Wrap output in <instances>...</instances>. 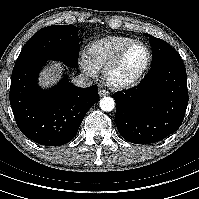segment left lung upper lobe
Instances as JSON below:
<instances>
[{
  "mask_svg": "<svg viewBox=\"0 0 199 199\" xmlns=\"http://www.w3.org/2000/svg\"><path fill=\"white\" fill-rule=\"evenodd\" d=\"M144 35L148 36L147 33ZM149 38L153 51L151 65H154L165 58L178 55V53L166 41L156 38L152 35H149Z\"/></svg>",
  "mask_w": 199,
  "mask_h": 199,
  "instance_id": "1",
  "label": "left lung upper lobe"
}]
</instances>
